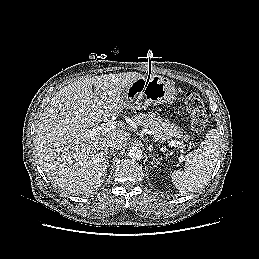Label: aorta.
Masks as SVG:
<instances>
[{
	"mask_svg": "<svg viewBox=\"0 0 259 259\" xmlns=\"http://www.w3.org/2000/svg\"><path fill=\"white\" fill-rule=\"evenodd\" d=\"M128 156L132 160H141L143 158V150L137 146L130 147L128 151Z\"/></svg>",
	"mask_w": 259,
	"mask_h": 259,
	"instance_id": "aorta-1",
	"label": "aorta"
}]
</instances>
